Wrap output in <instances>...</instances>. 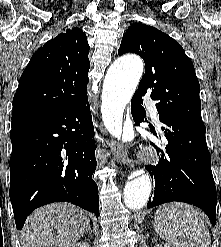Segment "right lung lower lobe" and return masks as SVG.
<instances>
[{
    "label": "right lung lower lobe",
    "mask_w": 221,
    "mask_h": 247,
    "mask_svg": "<svg viewBox=\"0 0 221 247\" xmlns=\"http://www.w3.org/2000/svg\"><path fill=\"white\" fill-rule=\"evenodd\" d=\"M94 131L88 99L55 112L12 120L10 200L16 228L52 202H71L98 217Z\"/></svg>",
    "instance_id": "98d812e1"
}]
</instances>
